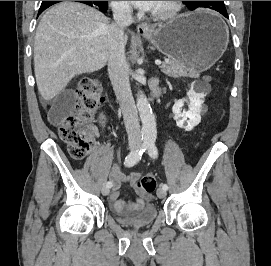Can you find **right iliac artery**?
<instances>
[{"label": "right iliac artery", "mask_w": 271, "mask_h": 266, "mask_svg": "<svg viewBox=\"0 0 271 266\" xmlns=\"http://www.w3.org/2000/svg\"><path fill=\"white\" fill-rule=\"evenodd\" d=\"M147 145H148V142L147 141H144L140 148L137 149V150H133L131 151L125 158V162H124V165L127 166V167H131L133 165H135L140 159H141V156L142 154L145 152V150L147 149ZM109 188L112 187V182L111 181H108L107 184H106Z\"/></svg>", "instance_id": "82829eb1"}]
</instances>
